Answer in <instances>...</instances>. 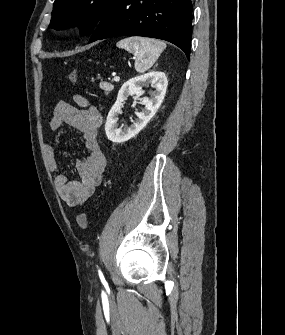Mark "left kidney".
I'll use <instances>...</instances> for the list:
<instances>
[{"label":"left kidney","mask_w":285,"mask_h":335,"mask_svg":"<svg viewBox=\"0 0 285 335\" xmlns=\"http://www.w3.org/2000/svg\"><path fill=\"white\" fill-rule=\"evenodd\" d=\"M146 84H151V88H155V92L152 98H140L141 104L145 106V110L138 114L136 122L130 128H122V126L118 128L117 122L119 114H122V102L127 100L128 96L137 98V96L143 94L142 88ZM167 86L168 82L164 72H149V74L136 76V78H131V80L125 82L121 86L117 100L107 116L105 132L108 140L115 142V144H122V142H127L133 136L139 134L140 130H143L147 126L149 120L153 118L158 108H160L166 94Z\"/></svg>","instance_id":"1"}]
</instances>
